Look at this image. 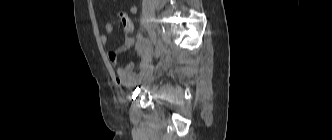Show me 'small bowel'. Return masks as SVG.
I'll list each match as a JSON object with an SVG mask.
<instances>
[{
	"instance_id": "1",
	"label": "small bowel",
	"mask_w": 332,
	"mask_h": 140,
	"mask_svg": "<svg viewBox=\"0 0 332 140\" xmlns=\"http://www.w3.org/2000/svg\"><path fill=\"white\" fill-rule=\"evenodd\" d=\"M138 8L136 5L130 7V13L136 14ZM105 33L101 34L100 40L107 44L109 36L113 34L114 27L111 23L104 25ZM135 49L137 62H130L125 66H117V54L122 50ZM110 62L116 67V75L119 83L125 86H134L150 75V46L142 36L126 37L120 46L108 53ZM138 68V72L136 71Z\"/></svg>"
}]
</instances>
